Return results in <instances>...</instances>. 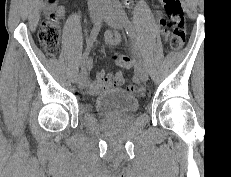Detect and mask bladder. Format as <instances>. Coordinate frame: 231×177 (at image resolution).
Masks as SVG:
<instances>
[{"label": "bladder", "mask_w": 231, "mask_h": 177, "mask_svg": "<svg viewBox=\"0 0 231 177\" xmlns=\"http://www.w3.org/2000/svg\"><path fill=\"white\" fill-rule=\"evenodd\" d=\"M138 107V99L124 89L106 90L95 99V109L107 117L124 116L135 112Z\"/></svg>", "instance_id": "31cf9c89"}]
</instances>
